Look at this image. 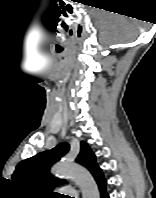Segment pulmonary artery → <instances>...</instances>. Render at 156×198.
<instances>
[{
    "instance_id": "obj_1",
    "label": "pulmonary artery",
    "mask_w": 156,
    "mask_h": 198,
    "mask_svg": "<svg viewBox=\"0 0 156 198\" xmlns=\"http://www.w3.org/2000/svg\"><path fill=\"white\" fill-rule=\"evenodd\" d=\"M62 189L65 190V191H71V190H73V188L72 187H69V186H65Z\"/></svg>"
}]
</instances>
